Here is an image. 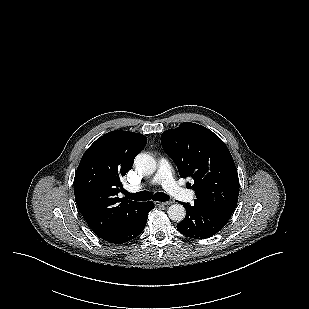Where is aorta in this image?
Returning a JSON list of instances; mask_svg holds the SVG:
<instances>
[{
  "label": "aorta",
  "mask_w": 309,
  "mask_h": 309,
  "mask_svg": "<svg viewBox=\"0 0 309 309\" xmlns=\"http://www.w3.org/2000/svg\"><path fill=\"white\" fill-rule=\"evenodd\" d=\"M135 167L144 175H151L156 171L155 159L146 153H139L134 160ZM168 216L175 222H181L186 216V210L181 204H173L168 209Z\"/></svg>",
  "instance_id": "762f6f07"
}]
</instances>
